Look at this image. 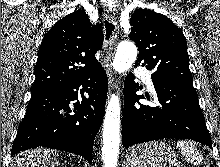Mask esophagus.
I'll list each match as a JSON object with an SVG mask.
<instances>
[{"mask_svg": "<svg viewBox=\"0 0 220 167\" xmlns=\"http://www.w3.org/2000/svg\"><path fill=\"white\" fill-rule=\"evenodd\" d=\"M105 17L107 20L115 24V32L112 35L111 42L109 44V49L104 59V67L109 77V86L112 87L114 85L115 76L112 70V60L115 55L116 45H117V37L119 33V25L117 22V10L115 7H108L105 12Z\"/></svg>", "mask_w": 220, "mask_h": 167, "instance_id": "1", "label": "esophagus"}]
</instances>
